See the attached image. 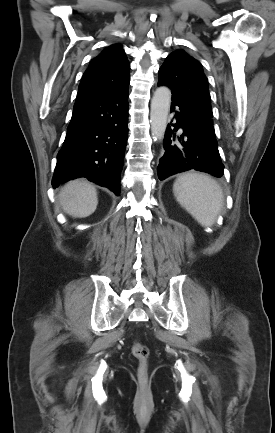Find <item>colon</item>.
<instances>
[{
  "instance_id": "1",
  "label": "colon",
  "mask_w": 275,
  "mask_h": 433,
  "mask_svg": "<svg viewBox=\"0 0 275 433\" xmlns=\"http://www.w3.org/2000/svg\"><path fill=\"white\" fill-rule=\"evenodd\" d=\"M131 353L137 360V378L140 384H146L148 380V359H149V349L145 344L135 342L131 346Z\"/></svg>"
}]
</instances>
